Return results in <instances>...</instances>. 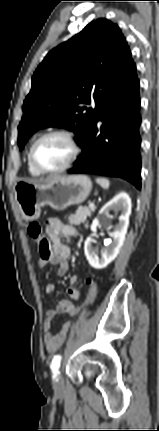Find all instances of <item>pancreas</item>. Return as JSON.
Here are the masks:
<instances>
[{
  "label": "pancreas",
  "instance_id": "1",
  "mask_svg": "<svg viewBox=\"0 0 159 431\" xmlns=\"http://www.w3.org/2000/svg\"><path fill=\"white\" fill-rule=\"evenodd\" d=\"M95 209V207H80L76 210L75 214H71L68 217V221L71 225H80L81 223H84L86 221L87 217L91 216L92 212H94Z\"/></svg>",
  "mask_w": 159,
  "mask_h": 431
}]
</instances>
